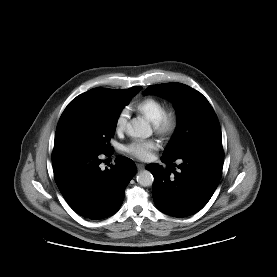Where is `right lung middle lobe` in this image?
Returning <instances> with one entry per match:
<instances>
[{
    "mask_svg": "<svg viewBox=\"0 0 277 277\" xmlns=\"http://www.w3.org/2000/svg\"><path fill=\"white\" fill-rule=\"evenodd\" d=\"M142 87L95 88L73 99L58 122L55 145L111 152L110 139L123 107Z\"/></svg>",
    "mask_w": 277,
    "mask_h": 277,
    "instance_id": "dd1d6c3e",
    "label": "right lung middle lobe"
}]
</instances>
